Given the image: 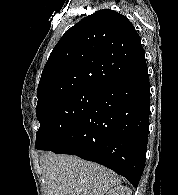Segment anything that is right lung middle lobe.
<instances>
[{
	"mask_svg": "<svg viewBox=\"0 0 178 195\" xmlns=\"http://www.w3.org/2000/svg\"><path fill=\"white\" fill-rule=\"evenodd\" d=\"M98 90L81 89L50 97L36 107L40 128L35 148L54 150L94 104Z\"/></svg>",
	"mask_w": 178,
	"mask_h": 195,
	"instance_id": "dd1d6c3e",
	"label": "right lung middle lobe"
}]
</instances>
